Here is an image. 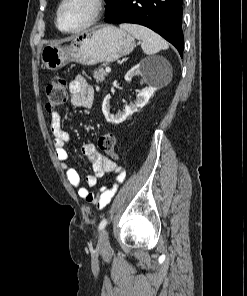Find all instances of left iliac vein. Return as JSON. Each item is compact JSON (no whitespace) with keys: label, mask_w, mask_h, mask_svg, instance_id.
<instances>
[{"label":"left iliac vein","mask_w":247,"mask_h":296,"mask_svg":"<svg viewBox=\"0 0 247 296\" xmlns=\"http://www.w3.org/2000/svg\"><path fill=\"white\" fill-rule=\"evenodd\" d=\"M98 245L101 251H107L110 248L107 230H102L99 235Z\"/></svg>","instance_id":"4c4485c4"}]
</instances>
